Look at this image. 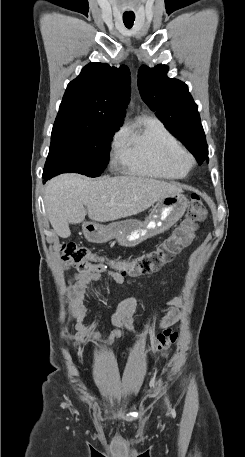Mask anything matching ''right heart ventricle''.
I'll use <instances>...</instances> for the list:
<instances>
[{
	"label": "right heart ventricle",
	"mask_w": 245,
	"mask_h": 457,
	"mask_svg": "<svg viewBox=\"0 0 245 457\" xmlns=\"http://www.w3.org/2000/svg\"><path fill=\"white\" fill-rule=\"evenodd\" d=\"M180 148L177 138L160 120L146 118L123 128L114 151L139 173L181 179L188 170L170 158Z\"/></svg>",
	"instance_id": "1"
}]
</instances>
